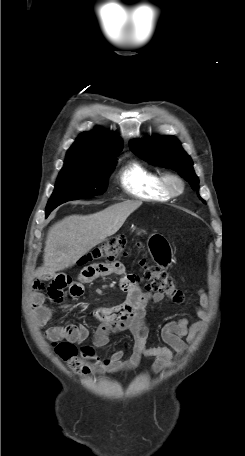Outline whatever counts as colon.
Returning a JSON list of instances; mask_svg holds the SVG:
<instances>
[{"label": "colon", "instance_id": "obj_1", "mask_svg": "<svg viewBox=\"0 0 245 456\" xmlns=\"http://www.w3.org/2000/svg\"><path fill=\"white\" fill-rule=\"evenodd\" d=\"M126 245L127 239L125 236L113 237L82 257L79 262L81 264L99 260L112 262L126 255ZM139 265L148 290L165 294L174 303H181L184 300V294L178 288L176 282L159 266L151 263L146 258H142L139 261ZM55 351L72 369L78 370L82 368L81 355H79L73 344L69 342L58 343L55 345Z\"/></svg>", "mask_w": 245, "mask_h": 456}]
</instances>
